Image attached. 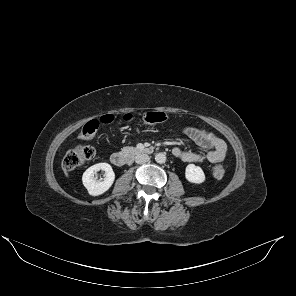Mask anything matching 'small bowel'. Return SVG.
Listing matches in <instances>:
<instances>
[{"mask_svg":"<svg viewBox=\"0 0 296 296\" xmlns=\"http://www.w3.org/2000/svg\"><path fill=\"white\" fill-rule=\"evenodd\" d=\"M184 133L196 144L207 149L206 153L198 154L191 151H183L180 148H174L173 154L186 162H210L219 163L226 157L227 146L226 143L203 128L187 127Z\"/></svg>","mask_w":296,"mask_h":296,"instance_id":"c3829d8e","label":"small bowel"}]
</instances>
